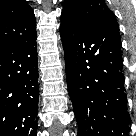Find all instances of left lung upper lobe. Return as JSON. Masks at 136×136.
<instances>
[{
    "instance_id": "1",
    "label": "left lung upper lobe",
    "mask_w": 136,
    "mask_h": 136,
    "mask_svg": "<svg viewBox=\"0 0 136 136\" xmlns=\"http://www.w3.org/2000/svg\"><path fill=\"white\" fill-rule=\"evenodd\" d=\"M61 23L72 26H102L119 30L114 13L104 0H65Z\"/></svg>"
}]
</instances>
